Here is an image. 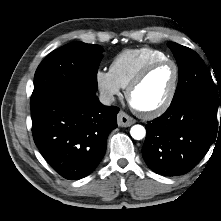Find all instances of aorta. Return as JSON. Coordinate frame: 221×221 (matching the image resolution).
<instances>
[{"mask_svg":"<svg viewBox=\"0 0 221 221\" xmlns=\"http://www.w3.org/2000/svg\"><path fill=\"white\" fill-rule=\"evenodd\" d=\"M130 134L135 140H141L146 135V130L142 125H134L131 127Z\"/></svg>","mask_w":221,"mask_h":221,"instance_id":"1","label":"aorta"}]
</instances>
